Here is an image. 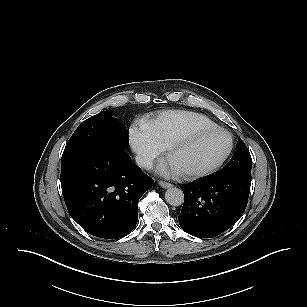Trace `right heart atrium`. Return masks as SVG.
<instances>
[{
    "label": "right heart atrium",
    "mask_w": 307,
    "mask_h": 307,
    "mask_svg": "<svg viewBox=\"0 0 307 307\" xmlns=\"http://www.w3.org/2000/svg\"><path fill=\"white\" fill-rule=\"evenodd\" d=\"M128 137L138 164L145 169L151 168L164 151V148L152 137L145 124L132 126L129 129Z\"/></svg>",
    "instance_id": "obj_1"
}]
</instances>
